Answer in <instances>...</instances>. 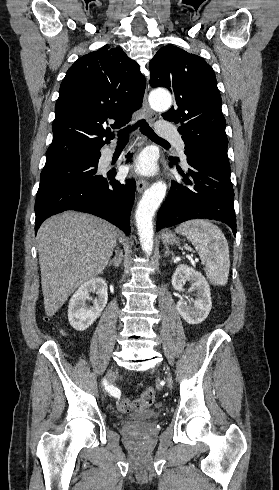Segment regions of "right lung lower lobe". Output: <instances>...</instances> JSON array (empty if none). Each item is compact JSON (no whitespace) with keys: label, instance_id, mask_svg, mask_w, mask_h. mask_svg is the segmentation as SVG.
<instances>
[{"label":"right lung lower lobe","instance_id":"1","mask_svg":"<svg viewBox=\"0 0 279 490\" xmlns=\"http://www.w3.org/2000/svg\"><path fill=\"white\" fill-rule=\"evenodd\" d=\"M131 157V154L127 155ZM100 155L98 156V160ZM115 169L40 184L35 202V233L48 217L66 210L94 214L130 234V211L135 199L134 180L114 179Z\"/></svg>","mask_w":279,"mask_h":490}]
</instances>
